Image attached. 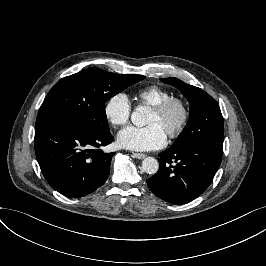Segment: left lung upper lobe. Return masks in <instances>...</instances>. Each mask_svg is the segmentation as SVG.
<instances>
[{
    "label": "left lung upper lobe",
    "instance_id": "1",
    "mask_svg": "<svg viewBox=\"0 0 266 266\" xmlns=\"http://www.w3.org/2000/svg\"><path fill=\"white\" fill-rule=\"evenodd\" d=\"M160 80L177 87L190 103V120L170 148H183L201 140L223 143V117L217 102L202 89L188 85L177 78Z\"/></svg>",
    "mask_w": 266,
    "mask_h": 266
}]
</instances>
